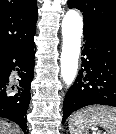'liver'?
Listing matches in <instances>:
<instances>
[{
    "label": "liver",
    "instance_id": "1",
    "mask_svg": "<svg viewBox=\"0 0 116 134\" xmlns=\"http://www.w3.org/2000/svg\"><path fill=\"white\" fill-rule=\"evenodd\" d=\"M19 133L20 130L18 127L5 121H0V134H19Z\"/></svg>",
    "mask_w": 116,
    "mask_h": 134
}]
</instances>
